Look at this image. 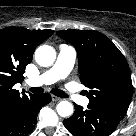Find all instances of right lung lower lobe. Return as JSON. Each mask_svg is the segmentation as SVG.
I'll return each instance as SVG.
<instances>
[{"label": "right lung lower lobe", "instance_id": "right-lung-lower-lobe-1", "mask_svg": "<svg viewBox=\"0 0 136 136\" xmlns=\"http://www.w3.org/2000/svg\"><path fill=\"white\" fill-rule=\"evenodd\" d=\"M51 102L48 93L31 95L17 108L0 116V136H27L37 121L39 109Z\"/></svg>", "mask_w": 136, "mask_h": 136}]
</instances>
